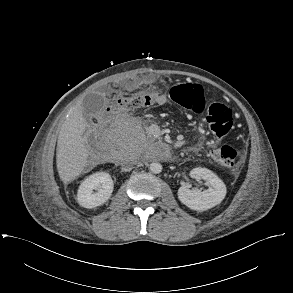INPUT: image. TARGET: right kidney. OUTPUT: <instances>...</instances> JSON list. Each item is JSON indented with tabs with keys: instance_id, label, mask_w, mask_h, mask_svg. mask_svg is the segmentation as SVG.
I'll return each instance as SVG.
<instances>
[{
	"instance_id": "ca27d5eb",
	"label": "right kidney",
	"mask_w": 293,
	"mask_h": 293,
	"mask_svg": "<svg viewBox=\"0 0 293 293\" xmlns=\"http://www.w3.org/2000/svg\"><path fill=\"white\" fill-rule=\"evenodd\" d=\"M113 188V180L108 173H93L80 184L77 192V201L82 207L95 208L108 201Z\"/></svg>"
}]
</instances>
